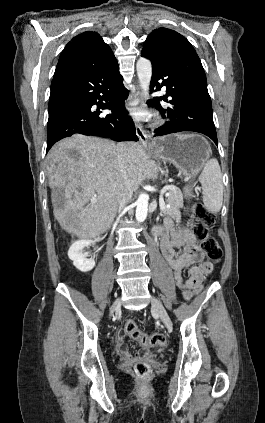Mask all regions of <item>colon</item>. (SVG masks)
Here are the masks:
<instances>
[{"mask_svg":"<svg viewBox=\"0 0 265 423\" xmlns=\"http://www.w3.org/2000/svg\"><path fill=\"white\" fill-rule=\"evenodd\" d=\"M195 221L193 232L200 243L204 254L213 262H220L223 257L222 249L218 241L210 236L209 231L215 224V215L204 208L201 204H195ZM126 333L143 346L151 348H162L166 344V337L161 333L148 334L139 329L134 320H128L125 324ZM137 377L147 378L151 374L149 365L139 361L134 366Z\"/></svg>","mask_w":265,"mask_h":423,"instance_id":"1","label":"colon"}]
</instances>
